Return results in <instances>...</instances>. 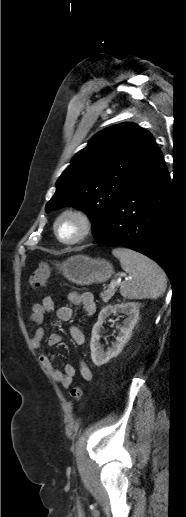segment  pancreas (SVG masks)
<instances>
[{
	"label": "pancreas",
	"mask_w": 186,
	"mask_h": 517,
	"mask_svg": "<svg viewBox=\"0 0 186 517\" xmlns=\"http://www.w3.org/2000/svg\"><path fill=\"white\" fill-rule=\"evenodd\" d=\"M114 293H115L114 289H108V290L104 291L103 293H101L100 296H101L102 300L106 303L111 299V297L114 295Z\"/></svg>",
	"instance_id": "obj_1"
}]
</instances>
